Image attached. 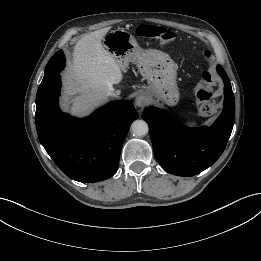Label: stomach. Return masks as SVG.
Returning a JSON list of instances; mask_svg holds the SVG:
<instances>
[{
    "label": "stomach",
    "mask_w": 261,
    "mask_h": 261,
    "mask_svg": "<svg viewBox=\"0 0 261 261\" xmlns=\"http://www.w3.org/2000/svg\"><path fill=\"white\" fill-rule=\"evenodd\" d=\"M104 46L120 65L128 67L134 62L140 74L148 81L147 95L150 100L162 101L173 106L179 101L177 65L168 54L141 48L135 37L123 29L112 30L104 37Z\"/></svg>",
    "instance_id": "obj_1"
}]
</instances>
